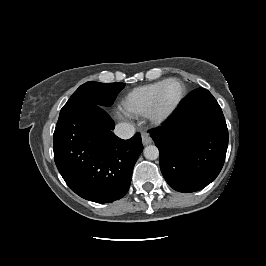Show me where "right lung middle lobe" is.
<instances>
[{
  "label": "right lung middle lobe",
  "mask_w": 266,
  "mask_h": 266,
  "mask_svg": "<svg viewBox=\"0 0 266 266\" xmlns=\"http://www.w3.org/2000/svg\"><path fill=\"white\" fill-rule=\"evenodd\" d=\"M124 87V83L105 84L95 81L81 85L61 109L57 124L63 122L83 105L96 104L101 107H109Z\"/></svg>",
  "instance_id": "dd1d6c3e"
}]
</instances>
